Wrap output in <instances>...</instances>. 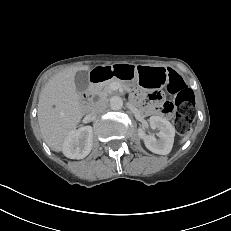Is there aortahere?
<instances>
[{
  "instance_id": "aorta-1",
  "label": "aorta",
  "mask_w": 231,
  "mask_h": 231,
  "mask_svg": "<svg viewBox=\"0 0 231 231\" xmlns=\"http://www.w3.org/2000/svg\"><path fill=\"white\" fill-rule=\"evenodd\" d=\"M110 107L112 110H120L123 107V100L119 96L110 98Z\"/></svg>"
}]
</instances>
